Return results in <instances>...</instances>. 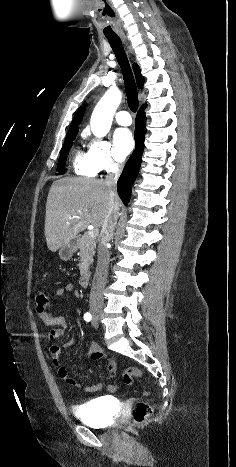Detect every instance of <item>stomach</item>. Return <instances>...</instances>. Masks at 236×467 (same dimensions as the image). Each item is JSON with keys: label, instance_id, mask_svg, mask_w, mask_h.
Here are the masks:
<instances>
[{"label": "stomach", "instance_id": "obj_1", "mask_svg": "<svg viewBox=\"0 0 236 467\" xmlns=\"http://www.w3.org/2000/svg\"><path fill=\"white\" fill-rule=\"evenodd\" d=\"M75 251V245L72 242H67L59 248V256L62 260L67 261L73 256Z\"/></svg>", "mask_w": 236, "mask_h": 467}]
</instances>
